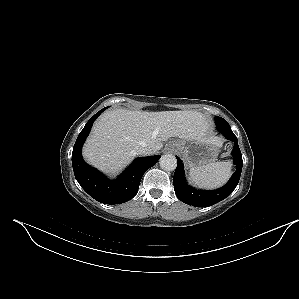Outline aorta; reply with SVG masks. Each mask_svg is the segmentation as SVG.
Masks as SVG:
<instances>
[{"label": "aorta", "instance_id": "762f6f07", "mask_svg": "<svg viewBox=\"0 0 299 299\" xmlns=\"http://www.w3.org/2000/svg\"><path fill=\"white\" fill-rule=\"evenodd\" d=\"M160 167L165 171H173L177 167L176 157L172 154L163 155L159 161Z\"/></svg>", "mask_w": 299, "mask_h": 299}]
</instances>
